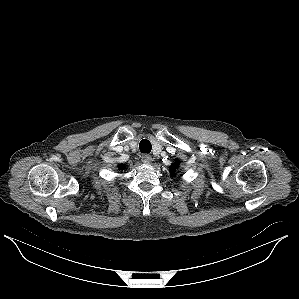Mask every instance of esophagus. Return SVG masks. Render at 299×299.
I'll use <instances>...</instances> for the list:
<instances>
[{
    "label": "esophagus",
    "instance_id": "obj_1",
    "mask_svg": "<svg viewBox=\"0 0 299 299\" xmlns=\"http://www.w3.org/2000/svg\"><path fill=\"white\" fill-rule=\"evenodd\" d=\"M152 157L149 155V154H144L142 155L141 157V161L144 163V164H150L152 162Z\"/></svg>",
    "mask_w": 299,
    "mask_h": 299
}]
</instances>
